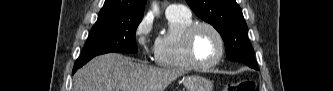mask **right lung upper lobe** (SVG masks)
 Here are the masks:
<instances>
[{"instance_id":"1","label":"right lung upper lobe","mask_w":333,"mask_h":91,"mask_svg":"<svg viewBox=\"0 0 333 91\" xmlns=\"http://www.w3.org/2000/svg\"><path fill=\"white\" fill-rule=\"evenodd\" d=\"M145 3L146 0H106L98 18L143 16Z\"/></svg>"}]
</instances>
